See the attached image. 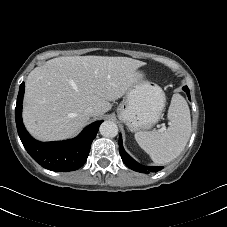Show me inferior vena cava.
I'll return each instance as SVG.
<instances>
[{"mask_svg":"<svg viewBox=\"0 0 227 227\" xmlns=\"http://www.w3.org/2000/svg\"><path fill=\"white\" fill-rule=\"evenodd\" d=\"M85 113L92 117V116H95L96 115V110L93 108V107H88L85 109Z\"/></svg>","mask_w":227,"mask_h":227,"instance_id":"1","label":"inferior vena cava"}]
</instances>
